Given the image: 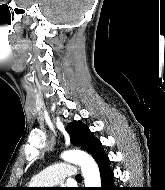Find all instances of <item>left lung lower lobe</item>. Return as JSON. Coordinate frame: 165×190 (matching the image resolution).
I'll list each match as a JSON object with an SVG mask.
<instances>
[{
    "label": "left lung lower lobe",
    "instance_id": "0a47b994",
    "mask_svg": "<svg viewBox=\"0 0 165 190\" xmlns=\"http://www.w3.org/2000/svg\"><path fill=\"white\" fill-rule=\"evenodd\" d=\"M109 158L107 156L97 161L101 174L102 187L99 190H115L113 186L114 174L109 168Z\"/></svg>",
    "mask_w": 165,
    "mask_h": 190
}]
</instances>
